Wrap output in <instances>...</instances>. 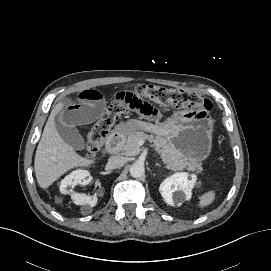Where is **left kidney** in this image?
I'll use <instances>...</instances> for the list:
<instances>
[{"instance_id":"obj_1","label":"left kidney","mask_w":271,"mask_h":271,"mask_svg":"<svg viewBox=\"0 0 271 271\" xmlns=\"http://www.w3.org/2000/svg\"><path fill=\"white\" fill-rule=\"evenodd\" d=\"M195 182L196 176L194 174L176 173L161 183L159 191L167 204L179 206L182 202L191 198Z\"/></svg>"}]
</instances>
